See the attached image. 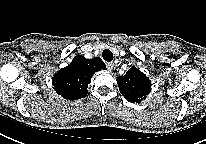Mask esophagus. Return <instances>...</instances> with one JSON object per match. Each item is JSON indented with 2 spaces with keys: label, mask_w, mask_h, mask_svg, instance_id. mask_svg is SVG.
Here are the masks:
<instances>
[{
  "label": "esophagus",
  "mask_w": 206,
  "mask_h": 144,
  "mask_svg": "<svg viewBox=\"0 0 206 144\" xmlns=\"http://www.w3.org/2000/svg\"><path fill=\"white\" fill-rule=\"evenodd\" d=\"M113 67H114V64H113L112 62L106 63V68H107L109 71H112V70H113Z\"/></svg>",
  "instance_id": "1"
}]
</instances>
